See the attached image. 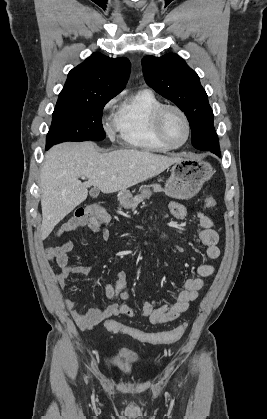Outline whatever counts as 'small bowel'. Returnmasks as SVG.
<instances>
[{"label": "small bowel", "instance_id": "small-bowel-1", "mask_svg": "<svg viewBox=\"0 0 267 419\" xmlns=\"http://www.w3.org/2000/svg\"><path fill=\"white\" fill-rule=\"evenodd\" d=\"M171 214L177 219H185L188 217L187 208L179 202L173 201L169 206ZM201 230L198 233L199 240L204 246L205 255L209 259H217L220 256L218 247L219 236L213 228L211 218L202 210L197 213ZM86 227L93 234L98 235L102 240L107 241L110 237L108 229L101 222L94 218L73 217L65 222L56 231V237L60 240L59 244L54 247L45 249L44 257L49 263L56 266L54 279L61 289H65L68 279L71 275L79 274L89 276L91 269L87 266L70 265L68 255L73 249L71 241L66 240V235L77 228ZM215 267L212 264L203 263L197 266L195 276L188 278L183 283V288L179 292L176 302L164 304L156 307V300L146 301L143 304L141 316L148 318L149 322L158 325L167 323L177 319L188 308L190 303L198 296V292L203 288V279L213 275ZM127 273L119 271L116 274L113 283L105 286V296L109 300V304L104 309L91 308L86 312H82L76 305V302L70 298L65 299V304L69 309L77 326L83 330L91 329L111 316H127L135 315L131 306L120 303L128 299L126 291Z\"/></svg>", "mask_w": 267, "mask_h": 419}]
</instances>
